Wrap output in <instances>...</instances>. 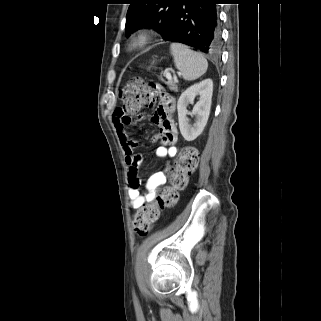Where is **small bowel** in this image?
<instances>
[{
    "label": "small bowel",
    "mask_w": 321,
    "mask_h": 321,
    "mask_svg": "<svg viewBox=\"0 0 321 321\" xmlns=\"http://www.w3.org/2000/svg\"><path fill=\"white\" fill-rule=\"evenodd\" d=\"M146 88L154 90L153 94L159 96L158 105L154 114L150 117L151 122L160 128L159 133L151 139L152 143H159L155 155L158 158L172 159L177 155V148L175 146L177 128L174 120L176 110L175 99L166 93L164 89L158 88L157 83H149L146 85ZM112 122L125 153L126 164L128 165V196L130 206L133 209H139L146 203L154 201L159 188L166 183L169 162L166 163L162 171L156 172L149 177L145 186L146 193L141 194L139 190L141 185L139 167L144 162V155L135 152L137 142L131 139L127 132V127L134 123L132 117L129 114L123 113L120 109H116Z\"/></svg>",
    "instance_id": "1"
}]
</instances>
